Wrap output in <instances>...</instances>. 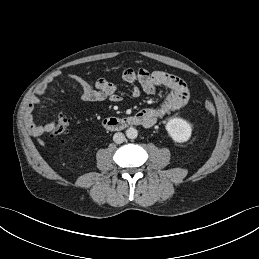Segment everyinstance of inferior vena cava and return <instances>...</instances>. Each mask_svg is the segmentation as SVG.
<instances>
[{
	"instance_id": "inferior-vena-cava-1",
	"label": "inferior vena cava",
	"mask_w": 259,
	"mask_h": 259,
	"mask_svg": "<svg viewBox=\"0 0 259 259\" xmlns=\"http://www.w3.org/2000/svg\"><path fill=\"white\" fill-rule=\"evenodd\" d=\"M113 141L116 143V144H121L125 141V136L123 133L121 132H118V133H115L114 136H113Z\"/></svg>"
}]
</instances>
